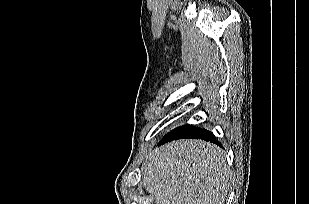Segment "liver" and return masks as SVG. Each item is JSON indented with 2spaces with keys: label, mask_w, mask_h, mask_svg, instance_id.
Wrapping results in <instances>:
<instances>
[{
  "label": "liver",
  "mask_w": 309,
  "mask_h": 204,
  "mask_svg": "<svg viewBox=\"0 0 309 204\" xmlns=\"http://www.w3.org/2000/svg\"><path fill=\"white\" fill-rule=\"evenodd\" d=\"M229 178L223 150L202 140L167 143L142 165L143 185L158 204H224Z\"/></svg>",
  "instance_id": "obj_1"
}]
</instances>
